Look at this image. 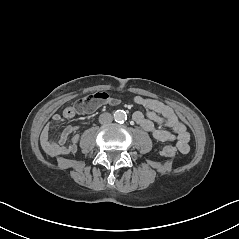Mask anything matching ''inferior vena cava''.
Instances as JSON below:
<instances>
[{
  "mask_svg": "<svg viewBox=\"0 0 239 239\" xmlns=\"http://www.w3.org/2000/svg\"><path fill=\"white\" fill-rule=\"evenodd\" d=\"M112 121H113V117L110 113L105 112L99 116V122L101 124H110Z\"/></svg>",
  "mask_w": 239,
  "mask_h": 239,
  "instance_id": "inferior-vena-cava-1",
  "label": "inferior vena cava"
}]
</instances>
